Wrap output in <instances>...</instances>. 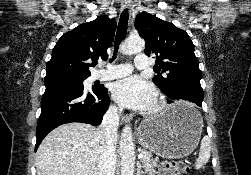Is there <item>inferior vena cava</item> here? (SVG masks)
<instances>
[{
  "label": "inferior vena cava",
  "instance_id": "1",
  "mask_svg": "<svg viewBox=\"0 0 251 175\" xmlns=\"http://www.w3.org/2000/svg\"><path fill=\"white\" fill-rule=\"evenodd\" d=\"M119 107H109L102 123L97 127L96 137L101 139L99 175H115L117 129L120 121Z\"/></svg>",
  "mask_w": 251,
  "mask_h": 175
}]
</instances>
